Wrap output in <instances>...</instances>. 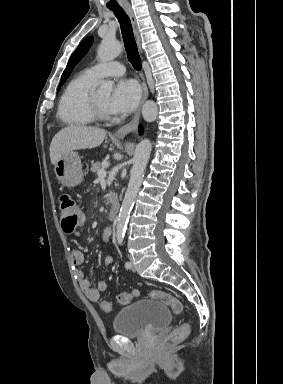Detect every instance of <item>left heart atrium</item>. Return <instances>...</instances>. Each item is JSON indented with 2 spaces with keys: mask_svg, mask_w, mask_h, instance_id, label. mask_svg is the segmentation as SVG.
<instances>
[{
  "mask_svg": "<svg viewBox=\"0 0 283 384\" xmlns=\"http://www.w3.org/2000/svg\"><path fill=\"white\" fill-rule=\"evenodd\" d=\"M139 98L140 89L133 80H120L109 96L108 109L114 115L129 114L136 107Z\"/></svg>",
  "mask_w": 283,
  "mask_h": 384,
  "instance_id": "left-heart-atrium-1",
  "label": "left heart atrium"
}]
</instances>
